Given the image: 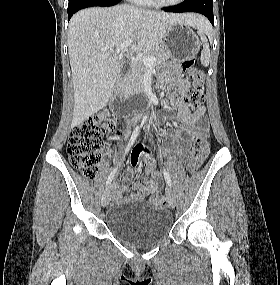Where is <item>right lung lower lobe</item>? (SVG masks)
<instances>
[{
    "mask_svg": "<svg viewBox=\"0 0 280 285\" xmlns=\"http://www.w3.org/2000/svg\"><path fill=\"white\" fill-rule=\"evenodd\" d=\"M121 0H69L68 21L78 10L92 6H113Z\"/></svg>",
    "mask_w": 280,
    "mask_h": 285,
    "instance_id": "1",
    "label": "right lung lower lobe"
}]
</instances>
